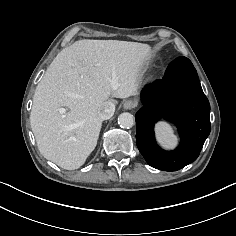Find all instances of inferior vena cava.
Returning <instances> with one entry per match:
<instances>
[{"label": "inferior vena cava", "instance_id": "inferior-vena-cava-1", "mask_svg": "<svg viewBox=\"0 0 236 236\" xmlns=\"http://www.w3.org/2000/svg\"><path fill=\"white\" fill-rule=\"evenodd\" d=\"M115 111V104L112 102H106L98 115L102 120L110 119Z\"/></svg>", "mask_w": 236, "mask_h": 236}]
</instances>
